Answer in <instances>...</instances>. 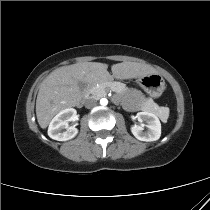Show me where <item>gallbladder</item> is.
<instances>
[{
	"instance_id": "bac80fb5",
	"label": "gallbladder",
	"mask_w": 210,
	"mask_h": 210,
	"mask_svg": "<svg viewBox=\"0 0 210 210\" xmlns=\"http://www.w3.org/2000/svg\"><path fill=\"white\" fill-rule=\"evenodd\" d=\"M78 86L81 90H84L86 88V84L84 82H78Z\"/></svg>"
}]
</instances>
